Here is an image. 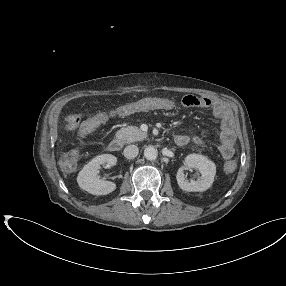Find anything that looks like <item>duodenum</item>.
Segmentation results:
<instances>
[{"instance_id": "duodenum-1", "label": "duodenum", "mask_w": 286, "mask_h": 286, "mask_svg": "<svg viewBox=\"0 0 286 286\" xmlns=\"http://www.w3.org/2000/svg\"><path fill=\"white\" fill-rule=\"evenodd\" d=\"M177 145H181L182 144V141H178L176 142ZM122 145H123V142L120 138H114L112 139L109 144H108V149L111 151V152H118L121 150L122 148Z\"/></svg>"}]
</instances>
